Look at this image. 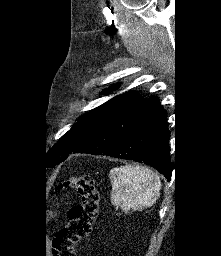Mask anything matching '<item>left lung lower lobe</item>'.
<instances>
[{
	"instance_id": "1",
	"label": "left lung lower lobe",
	"mask_w": 221,
	"mask_h": 256,
	"mask_svg": "<svg viewBox=\"0 0 221 256\" xmlns=\"http://www.w3.org/2000/svg\"><path fill=\"white\" fill-rule=\"evenodd\" d=\"M166 116L158 98L150 97L127 114L109 121L73 153L107 155L145 163L170 180L172 165Z\"/></svg>"
}]
</instances>
